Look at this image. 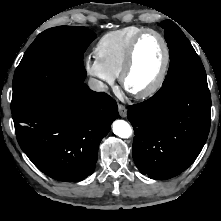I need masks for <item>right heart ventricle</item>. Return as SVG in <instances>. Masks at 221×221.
<instances>
[{
    "label": "right heart ventricle",
    "instance_id": "1",
    "mask_svg": "<svg viewBox=\"0 0 221 221\" xmlns=\"http://www.w3.org/2000/svg\"><path fill=\"white\" fill-rule=\"evenodd\" d=\"M143 27L128 26L105 33L97 42L94 52L96 58L113 76H119L128 46Z\"/></svg>",
    "mask_w": 221,
    "mask_h": 221
}]
</instances>
